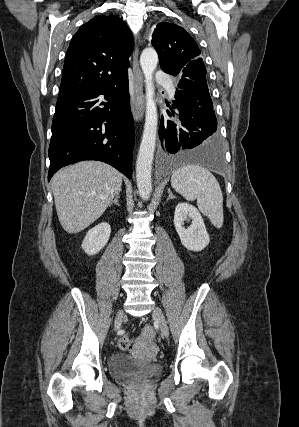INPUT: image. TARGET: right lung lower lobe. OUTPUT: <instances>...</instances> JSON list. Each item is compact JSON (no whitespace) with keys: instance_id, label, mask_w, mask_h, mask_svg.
<instances>
[{"instance_id":"1","label":"right lung lower lobe","mask_w":299,"mask_h":427,"mask_svg":"<svg viewBox=\"0 0 299 427\" xmlns=\"http://www.w3.org/2000/svg\"><path fill=\"white\" fill-rule=\"evenodd\" d=\"M133 147L126 72L113 81L58 99L49 146L48 181L60 168L83 160L106 162L130 179Z\"/></svg>"}]
</instances>
